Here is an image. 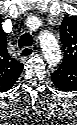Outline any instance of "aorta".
<instances>
[{"label": "aorta", "mask_w": 77, "mask_h": 125, "mask_svg": "<svg viewBox=\"0 0 77 125\" xmlns=\"http://www.w3.org/2000/svg\"><path fill=\"white\" fill-rule=\"evenodd\" d=\"M41 48L50 66H56L61 60V50L55 37L50 33L40 36Z\"/></svg>", "instance_id": "obj_1"}]
</instances>
